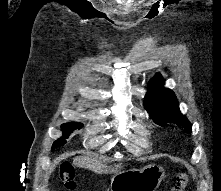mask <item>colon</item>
Wrapping results in <instances>:
<instances>
[{
	"label": "colon",
	"mask_w": 221,
	"mask_h": 191,
	"mask_svg": "<svg viewBox=\"0 0 221 191\" xmlns=\"http://www.w3.org/2000/svg\"><path fill=\"white\" fill-rule=\"evenodd\" d=\"M59 178L66 191H78L77 183L75 180V171L71 163L65 162L62 164ZM187 184L188 179L186 175H179L171 191H185Z\"/></svg>",
	"instance_id": "obj_1"
}]
</instances>
